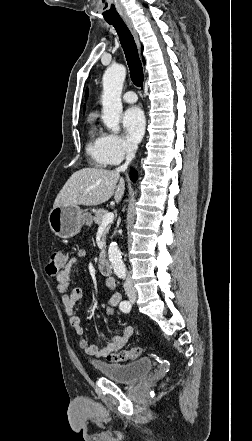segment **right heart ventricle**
<instances>
[{"mask_svg":"<svg viewBox=\"0 0 252 441\" xmlns=\"http://www.w3.org/2000/svg\"><path fill=\"white\" fill-rule=\"evenodd\" d=\"M88 135L87 155L96 166L106 167L109 163L104 150V134L98 130L94 123H91Z\"/></svg>","mask_w":252,"mask_h":441,"instance_id":"1","label":"right heart ventricle"}]
</instances>
